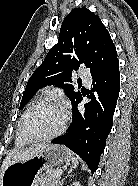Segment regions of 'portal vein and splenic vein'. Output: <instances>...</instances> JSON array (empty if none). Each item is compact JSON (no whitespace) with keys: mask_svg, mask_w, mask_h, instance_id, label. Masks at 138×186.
<instances>
[{"mask_svg":"<svg viewBox=\"0 0 138 186\" xmlns=\"http://www.w3.org/2000/svg\"><path fill=\"white\" fill-rule=\"evenodd\" d=\"M62 174H63V171H62V170H57V171L54 173V176H55V177H60Z\"/></svg>","mask_w":138,"mask_h":186,"instance_id":"18ae733b","label":"portal vein and splenic vein"}]
</instances>
